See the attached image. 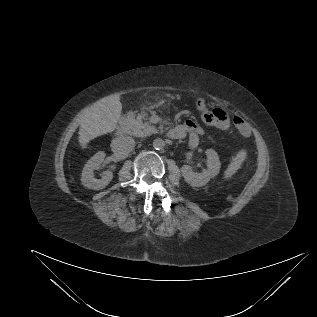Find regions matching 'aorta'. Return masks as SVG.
I'll list each match as a JSON object with an SVG mask.
<instances>
[{
    "mask_svg": "<svg viewBox=\"0 0 317 317\" xmlns=\"http://www.w3.org/2000/svg\"><path fill=\"white\" fill-rule=\"evenodd\" d=\"M165 146V142L163 139L161 138H156L154 141H153V147L157 150H161L163 149Z\"/></svg>",
    "mask_w": 317,
    "mask_h": 317,
    "instance_id": "1",
    "label": "aorta"
}]
</instances>
